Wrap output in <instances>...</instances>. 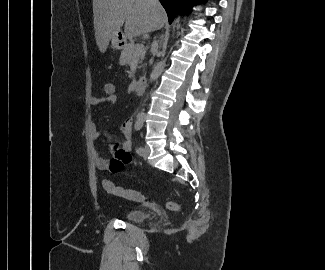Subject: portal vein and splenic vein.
Returning <instances> with one entry per match:
<instances>
[{
    "mask_svg": "<svg viewBox=\"0 0 325 270\" xmlns=\"http://www.w3.org/2000/svg\"><path fill=\"white\" fill-rule=\"evenodd\" d=\"M138 47L140 50H144V45L140 44V45H138Z\"/></svg>",
    "mask_w": 325,
    "mask_h": 270,
    "instance_id": "1",
    "label": "portal vein and splenic vein"
}]
</instances>
